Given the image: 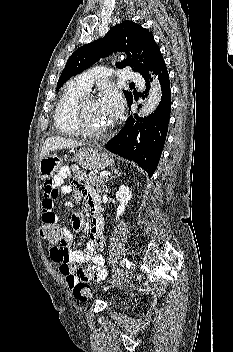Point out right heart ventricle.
<instances>
[{
	"label": "right heart ventricle",
	"instance_id": "1",
	"mask_svg": "<svg viewBox=\"0 0 233 352\" xmlns=\"http://www.w3.org/2000/svg\"><path fill=\"white\" fill-rule=\"evenodd\" d=\"M86 90L70 81L56 105L54 123L56 128L66 136H78L79 132L75 122V110L79 100L86 94Z\"/></svg>",
	"mask_w": 233,
	"mask_h": 352
}]
</instances>
